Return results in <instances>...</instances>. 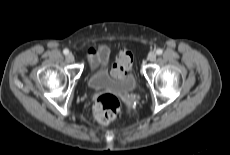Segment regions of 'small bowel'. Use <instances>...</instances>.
<instances>
[{"label": "small bowel", "instance_id": "small-bowel-1", "mask_svg": "<svg viewBox=\"0 0 230 155\" xmlns=\"http://www.w3.org/2000/svg\"><path fill=\"white\" fill-rule=\"evenodd\" d=\"M110 56V50L106 46H99L97 48H91L89 50V65L92 71L99 68H103L108 64ZM125 50H122L117 59L116 63L112 66L110 73L114 77H122L129 73L130 64L124 59Z\"/></svg>", "mask_w": 230, "mask_h": 155}]
</instances>
